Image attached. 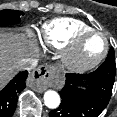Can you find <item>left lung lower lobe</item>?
Masks as SVG:
<instances>
[{"label":"left lung lower lobe","mask_w":117,"mask_h":117,"mask_svg":"<svg viewBox=\"0 0 117 117\" xmlns=\"http://www.w3.org/2000/svg\"><path fill=\"white\" fill-rule=\"evenodd\" d=\"M115 73L100 66L89 74H66L61 104L50 117H97L108 105ZM85 83L84 87H81Z\"/></svg>","instance_id":"left-lung-lower-lobe-1"}]
</instances>
